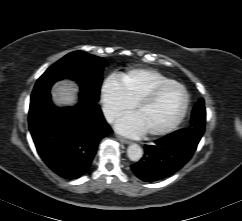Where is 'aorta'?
Masks as SVG:
<instances>
[{
    "mask_svg": "<svg viewBox=\"0 0 242 221\" xmlns=\"http://www.w3.org/2000/svg\"><path fill=\"white\" fill-rule=\"evenodd\" d=\"M143 151L138 144H131L127 148V156L132 161H139L142 158Z\"/></svg>",
    "mask_w": 242,
    "mask_h": 221,
    "instance_id": "762f6f07",
    "label": "aorta"
}]
</instances>
